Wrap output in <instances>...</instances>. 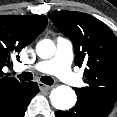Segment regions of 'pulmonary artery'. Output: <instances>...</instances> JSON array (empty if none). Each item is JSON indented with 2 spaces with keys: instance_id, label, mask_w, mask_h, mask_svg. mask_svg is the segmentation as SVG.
Instances as JSON below:
<instances>
[{
  "instance_id": "obj_1",
  "label": "pulmonary artery",
  "mask_w": 117,
  "mask_h": 117,
  "mask_svg": "<svg viewBox=\"0 0 117 117\" xmlns=\"http://www.w3.org/2000/svg\"><path fill=\"white\" fill-rule=\"evenodd\" d=\"M72 61V42L63 36H59L56 41V52L53 58L25 68L33 69L40 73L56 75L67 84L75 86L80 83V79L72 72Z\"/></svg>"
}]
</instances>
